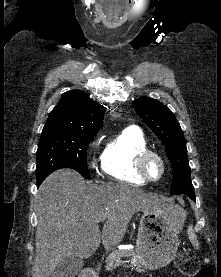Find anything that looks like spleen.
I'll use <instances>...</instances> for the list:
<instances>
[{
    "mask_svg": "<svg viewBox=\"0 0 221 277\" xmlns=\"http://www.w3.org/2000/svg\"><path fill=\"white\" fill-rule=\"evenodd\" d=\"M188 236H189V239H190V241H191L193 247H194L195 249H199V247H200V246H199V242H198V240H197L196 234H195L194 231H193V226H192V225H190V226L188 227Z\"/></svg>",
    "mask_w": 221,
    "mask_h": 277,
    "instance_id": "spleen-1",
    "label": "spleen"
}]
</instances>
